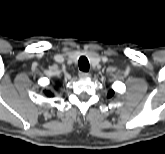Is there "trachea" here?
<instances>
[{
    "mask_svg": "<svg viewBox=\"0 0 165 154\" xmlns=\"http://www.w3.org/2000/svg\"><path fill=\"white\" fill-rule=\"evenodd\" d=\"M79 69L84 72H88L89 70V61L86 57L82 56L78 61Z\"/></svg>",
    "mask_w": 165,
    "mask_h": 154,
    "instance_id": "trachea-1",
    "label": "trachea"
}]
</instances>
